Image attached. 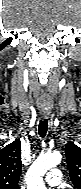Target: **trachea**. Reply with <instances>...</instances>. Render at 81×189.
<instances>
[{
	"mask_svg": "<svg viewBox=\"0 0 81 189\" xmlns=\"http://www.w3.org/2000/svg\"><path fill=\"white\" fill-rule=\"evenodd\" d=\"M48 130V120H40L38 132L41 138H44Z\"/></svg>",
	"mask_w": 81,
	"mask_h": 189,
	"instance_id": "trachea-1",
	"label": "trachea"
}]
</instances>
